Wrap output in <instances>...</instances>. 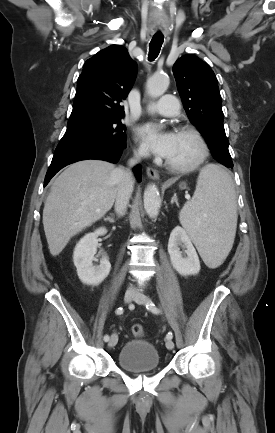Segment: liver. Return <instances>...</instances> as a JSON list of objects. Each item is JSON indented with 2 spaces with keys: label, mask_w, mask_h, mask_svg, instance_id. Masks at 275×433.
<instances>
[{
  "label": "liver",
  "mask_w": 275,
  "mask_h": 433,
  "mask_svg": "<svg viewBox=\"0 0 275 433\" xmlns=\"http://www.w3.org/2000/svg\"><path fill=\"white\" fill-rule=\"evenodd\" d=\"M121 184L118 168L101 160L76 162L54 180L43 209L52 256L59 255L73 236L112 208Z\"/></svg>",
  "instance_id": "liver-1"
}]
</instances>
